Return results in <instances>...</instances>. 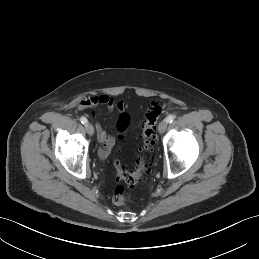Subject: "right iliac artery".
<instances>
[{"mask_svg": "<svg viewBox=\"0 0 259 259\" xmlns=\"http://www.w3.org/2000/svg\"><path fill=\"white\" fill-rule=\"evenodd\" d=\"M80 121H81L82 124H87L88 123V120L85 117H81Z\"/></svg>", "mask_w": 259, "mask_h": 259, "instance_id": "82829eb1", "label": "right iliac artery"}]
</instances>
